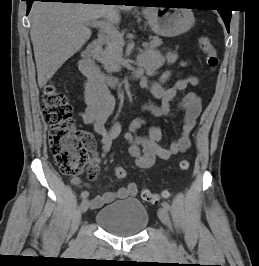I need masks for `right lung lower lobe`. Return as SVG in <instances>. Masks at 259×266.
I'll list each match as a JSON object with an SVG mask.
<instances>
[{
    "instance_id": "98d812e1",
    "label": "right lung lower lobe",
    "mask_w": 259,
    "mask_h": 266,
    "mask_svg": "<svg viewBox=\"0 0 259 266\" xmlns=\"http://www.w3.org/2000/svg\"><path fill=\"white\" fill-rule=\"evenodd\" d=\"M27 1V14L31 9V5L34 1L42 2H62V3H84V4H107V3H119L121 0H24Z\"/></svg>"
}]
</instances>
